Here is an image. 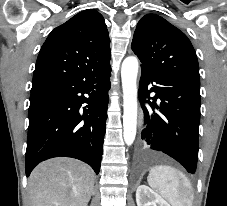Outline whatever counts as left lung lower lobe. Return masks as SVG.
Listing matches in <instances>:
<instances>
[{"mask_svg":"<svg viewBox=\"0 0 227 206\" xmlns=\"http://www.w3.org/2000/svg\"><path fill=\"white\" fill-rule=\"evenodd\" d=\"M152 82H156L151 88L156 95L149 97L148 85ZM138 95L141 100L148 98L145 102L152 107L148 110L141 102L146 124L142 132L147 144L145 149L162 151L180 162L188 172L195 173L201 100L199 84L142 68Z\"/></svg>","mask_w":227,"mask_h":206,"instance_id":"1","label":"left lung lower lobe"}]
</instances>
